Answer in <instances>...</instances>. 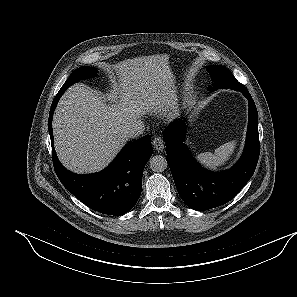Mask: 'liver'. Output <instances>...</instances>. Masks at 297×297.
<instances>
[{"label":"liver","instance_id":"6515ba94","mask_svg":"<svg viewBox=\"0 0 297 297\" xmlns=\"http://www.w3.org/2000/svg\"><path fill=\"white\" fill-rule=\"evenodd\" d=\"M110 67L117 78L108 95L110 102L85 85L75 84L56 107L54 146L60 162L72 172L102 170L127 141L124 129L175 97L167 54L126 59Z\"/></svg>","mask_w":297,"mask_h":297}]
</instances>
